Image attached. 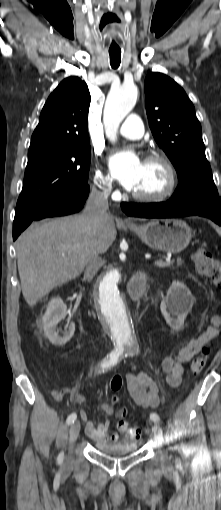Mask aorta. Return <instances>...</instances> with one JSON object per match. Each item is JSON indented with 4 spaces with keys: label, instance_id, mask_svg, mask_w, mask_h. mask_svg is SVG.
Returning <instances> with one entry per match:
<instances>
[{
    "label": "aorta",
    "instance_id": "1",
    "mask_svg": "<svg viewBox=\"0 0 221 510\" xmlns=\"http://www.w3.org/2000/svg\"><path fill=\"white\" fill-rule=\"evenodd\" d=\"M137 95V87L133 84H123L109 92L103 122L110 139H115L120 123L135 106ZM121 283V272L118 269L109 270L97 284L96 299L100 315L115 346L121 350H132L137 346V338Z\"/></svg>",
    "mask_w": 221,
    "mask_h": 510
}]
</instances>
